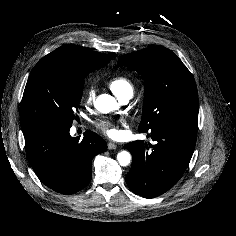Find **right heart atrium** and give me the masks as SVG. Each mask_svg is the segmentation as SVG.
<instances>
[{"mask_svg":"<svg viewBox=\"0 0 236 236\" xmlns=\"http://www.w3.org/2000/svg\"><path fill=\"white\" fill-rule=\"evenodd\" d=\"M94 93H95L94 88L89 87L86 89L85 99L88 103L92 102L93 97H94Z\"/></svg>","mask_w":236,"mask_h":236,"instance_id":"right-heart-atrium-1","label":"right heart atrium"}]
</instances>
